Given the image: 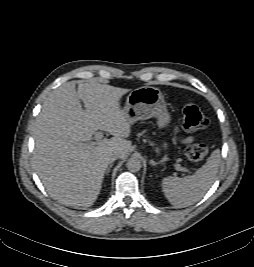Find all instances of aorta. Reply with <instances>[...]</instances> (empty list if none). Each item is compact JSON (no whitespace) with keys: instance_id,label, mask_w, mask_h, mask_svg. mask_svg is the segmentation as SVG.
<instances>
[{"instance_id":"obj_1","label":"aorta","mask_w":254,"mask_h":267,"mask_svg":"<svg viewBox=\"0 0 254 267\" xmlns=\"http://www.w3.org/2000/svg\"><path fill=\"white\" fill-rule=\"evenodd\" d=\"M126 165H127V169L133 173L140 171L142 167L140 159L136 157L130 158Z\"/></svg>"}]
</instances>
